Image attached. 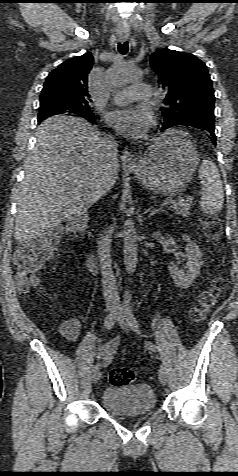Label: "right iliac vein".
<instances>
[{
  "instance_id": "obj_1",
  "label": "right iliac vein",
  "mask_w": 238,
  "mask_h": 476,
  "mask_svg": "<svg viewBox=\"0 0 238 476\" xmlns=\"http://www.w3.org/2000/svg\"><path fill=\"white\" fill-rule=\"evenodd\" d=\"M113 311L114 309H111V312ZM100 377H101L100 371L99 370L94 371L92 374V383L96 384L100 380Z\"/></svg>"
}]
</instances>
